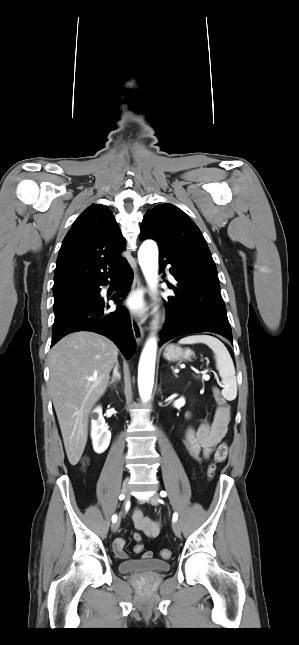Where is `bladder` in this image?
<instances>
[{
  "instance_id": "1",
  "label": "bladder",
  "mask_w": 299,
  "mask_h": 645,
  "mask_svg": "<svg viewBox=\"0 0 299 645\" xmlns=\"http://www.w3.org/2000/svg\"><path fill=\"white\" fill-rule=\"evenodd\" d=\"M171 568L169 562L157 559H132L119 564V571L122 574H152L163 573Z\"/></svg>"
}]
</instances>
